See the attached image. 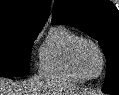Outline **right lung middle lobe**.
<instances>
[{"instance_id": "right-lung-middle-lobe-1", "label": "right lung middle lobe", "mask_w": 119, "mask_h": 95, "mask_svg": "<svg viewBox=\"0 0 119 95\" xmlns=\"http://www.w3.org/2000/svg\"><path fill=\"white\" fill-rule=\"evenodd\" d=\"M40 29L12 28L0 33V77L29 73L30 49Z\"/></svg>"}]
</instances>
